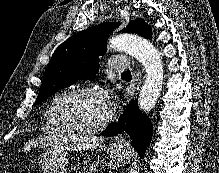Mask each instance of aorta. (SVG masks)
Wrapping results in <instances>:
<instances>
[{
  "label": "aorta",
  "mask_w": 219,
  "mask_h": 173,
  "mask_svg": "<svg viewBox=\"0 0 219 173\" xmlns=\"http://www.w3.org/2000/svg\"><path fill=\"white\" fill-rule=\"evenodd\" d=\"M110 48L125 51L136 58L146 71L138 106L149 112L156 104L163 84V64L157 49L147 40L132 34H119L109 41Z\"/></svg>",
  "instance_id": "aorta-1"
}]
</instances>
